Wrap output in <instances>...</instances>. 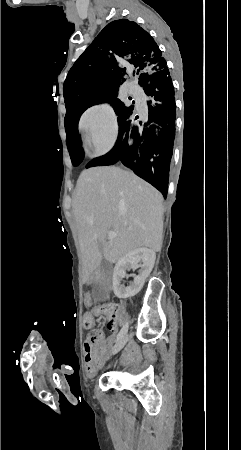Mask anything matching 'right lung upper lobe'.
<instances>
[{"label": "right lung upper lobe", "mask_w": 241, "mask_h": 450, "mask_svg": "<svg viewBox=\"0 0 241 450\" xmlns=\"http://www.w3.org/2000/svg\"><path fill=\"white\" fill-rule=\"evenodd\" d=\"M166 60L153 37L137 23L120 19L109 23L77 59L69 72L92 86L119 90L126 76L140 77Z\"/></svg>", "instance_id": "obj_1"}]
</instances>
